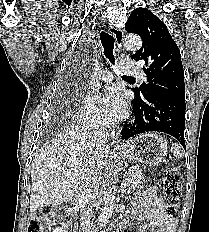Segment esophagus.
Instances as JSON below:
<instances>
[{"instance_id":"obj_1","label":"esophagus","mask_w":209,"mask_h":232,"mask_svg":"<svg viewBox=\"0 0 209 232\" xmlns=\"http://www.w3.org/2000/svg\"><path fill=\"white\" fill-rule=\"evenodd\" d=\"M109 33L111 35L114 36L115 40H116V44H117V47L119 49H122V46H123V37H124V34H123V31L119 28H116L114 26H110L109 27ZM111 139H112V143L114 145H117L119 144V135H118V132L113 130L111 132Z\"/></svg>"}]
</instances>
